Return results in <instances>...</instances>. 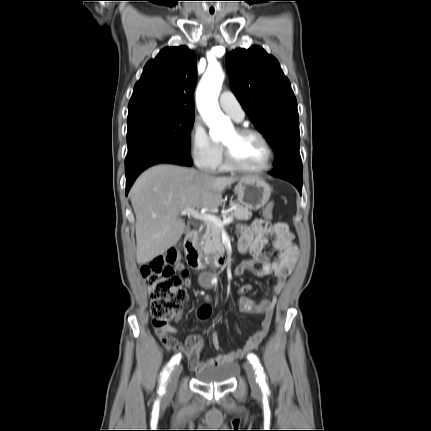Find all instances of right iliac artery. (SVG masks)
<instances>
[{
  "label": "right iliac artery",
  "instance_id": "1",
  "mask_svg": "<svg viewBox=\"0 0 431 431\" xmlns=\"http://www.w3.org/2000/svg\"><path fill=\"white\" fill-rule=\"evenodd\" d=\"M181 359V355L180 354H176L172 357V359L170 360V362L168 363V368L174 366L175 364H178L180 362ZM169 376V373L167 372V370L163 371L162 374V378H161V387H160V392L164 391V384L167 381Z\"/></svg>",
  "mask_w": 431,
  "mask_h": 431
}]
</instances>
